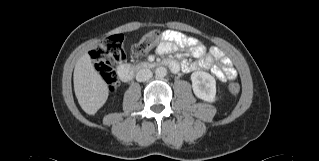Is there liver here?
Here are the masks:
<instances>
[{"label": "liver", "instance_id": "obj_1", "mask_svg": "<svg viewBox=\"0 0 319 161\" xmlns=\"http://www.w3.org/2000/svg\"><path fill=\"white\" fill-rule=\"evenodd\" d=\"M74 91L81 108L89 115L95 114L106 102L109 89L107 83L96 71L88 53L76 62Z\"/></svg>", "mask_w": 319, "mask_h": 161}]
</instances>
